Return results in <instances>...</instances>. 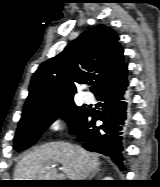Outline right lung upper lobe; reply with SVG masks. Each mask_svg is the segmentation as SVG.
<instances>
[{
  "instance_id": "right-lung-upper-lobe-1",
  "label": "right lung upper lobe",
  "mask_w": 160,
  "mask_h": 187,
  "mask_svg": "<svg viewBox=\"0 0 160 187\" xmlns=\"http://www.w3.org/2000/svg\"><path fill=\"white\" fill-rule=\"evenodd\" d=\"M118 40L109 27L97 25L72 41L60 54L42 63L31 79L23 113L72 100L76 92L74 82H93L91 91L94 93L126 66Z\"/></svg>"
}]
</instances>
